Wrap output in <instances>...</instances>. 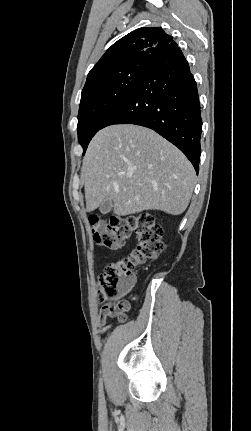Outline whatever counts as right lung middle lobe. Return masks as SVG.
Segmentation results:
<instances>
[{"mask_svg": "<svg viewBox=\"0 0 251 431\" xmlns=\"http://www.w3.org/2000/svg\"><path fill=\"white\" fill-rule=\"evenodd\" d=\"M147 62L130 63L83 88L78 113V140L83 155L92 137L103 128L114 110L131 94L141 80Z\"/></svg>", "mask_w": 251, "mask_h": 431, "instance_id": "obj_1", "label": "right lung middle lobe"}]
</instances>
